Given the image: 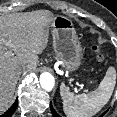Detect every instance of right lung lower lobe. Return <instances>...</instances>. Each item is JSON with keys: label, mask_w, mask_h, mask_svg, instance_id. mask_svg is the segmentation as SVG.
<instances>
[{"label": "right lung lower lobe", "mask_w": 117, "mask_h": 117, "mask_svg": "<svg viewBox=\"0 0 117 117\" xmlns=\"http://www.w3.org/2000/svg\"><path fill=\"white\" fill-rule=\"evenodd\" d=\"M18 104V99H16L15 103L8 109L3 115L0 117H11V115L15 112Z\"/></svg>", "instance_id": "right-lung-lower-lobe-1"}]
</instances>
